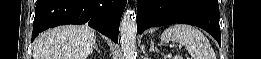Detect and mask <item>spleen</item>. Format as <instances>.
Masks as SVG:
<instances>
[{"mask_svg":"<svg viewBox=\"0 0 261 59\" xmlns=\"http://www.w3.org/2000/svg\"><path fill=\"white\" fill-rule=\"evenodd\" d=\"M163 42H177L184 46L192 59H216L214 50L204 34L194 26L176 24L161 35Z\"/></svg>","mask_w":261,"mask_h":59,"instance_id":"3e777b00","label":"spleen"}]
</instances>
